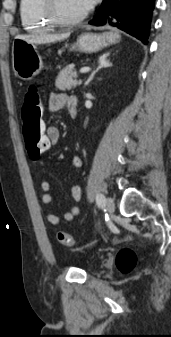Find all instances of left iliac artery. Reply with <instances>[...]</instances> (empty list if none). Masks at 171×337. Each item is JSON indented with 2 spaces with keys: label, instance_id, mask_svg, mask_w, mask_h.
Wrapping results in <instances>:
<instances>
[{
  "label": "left iliac artery",
  "instance_id": "left-iliac-artery-1",
  "mask_svg": "<svg viewBox=\"0 0 171 337\" xmlns=\"http://www.w3.org/2000/svg\"><path fill=\"white\" fill-rule=\"evenodd\" d=\"M96 203L99 207H103L105 204V197L103 194H97Z\"/></svg>",
  "mask_w": 171,
  "mask_h": 337
}]
</instances>
